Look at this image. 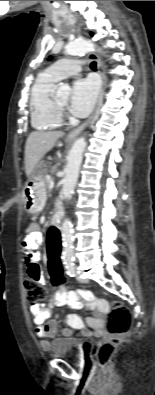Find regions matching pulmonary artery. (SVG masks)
<instances>
[{
  "label": "pulmonary artery",
  "mask_w": 155,
  "mask_h": 395,
  "mask_svg": "<svg viewBox=\"0 0 155 395\" xmlns=\"http://www.w3.org/2000/svg\"><path fill=\"white\" fill-rule=\"evenodd\" d=\"M83 61L77 59H63L52 64L47 73L56 80L75 75L82 70Z\"/></svg>",
  "instance_id": "1"
}]
</instances>
